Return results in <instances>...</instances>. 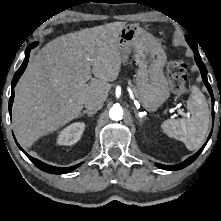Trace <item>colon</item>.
Returning a JSON list of instances; mask_svg holds the SVG:
<instances>
[{
	"label": "colon",
	"instance_id": "1",
	"mask_svg": "<svg viewBox=\"0 0 221 221\" xmlns=\"http://www.w3.org/2000/svg\"><path fill=\"white\" fill-rule=\"evenodd\" d=\"M187 65L182 60H173L168 65V78L172 90L183 93L186 90Z\"/></svg>",
	"mask_w": 221,
	"mask_h": 221
}]
</instances>
